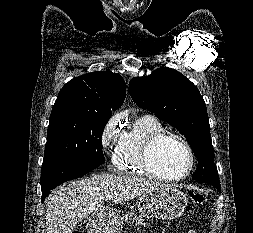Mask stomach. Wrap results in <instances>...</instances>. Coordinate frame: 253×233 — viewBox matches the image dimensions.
Here are the masks:
<instances>
[{
    "mask_svg": "<svg viewBox=\"0 0 253 233\" xmlns=\"http://www.w3.org/2000/svg\"><path fill=\"white\" fill-rule=\"evenodd\" d=\"M186 206L187 195L171 186L159 187L146 193L137 202V207L143 215L161 220L178 218L184 212ZM93 217L96 220L101 218L100 215H94ZM114 219L117 220L118 217ZM119 230L120 224L116 222L115 225L107 224L99 233H119Z\"/></svg>",
    "mask_w": 253,
    "mask_h": 233,
    "instance_id": "stomach-1",
    "label": "stomach"
}]
</instances>
